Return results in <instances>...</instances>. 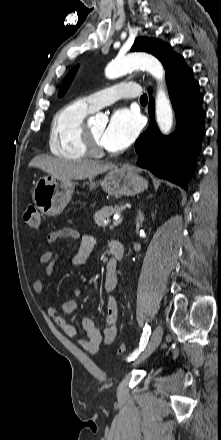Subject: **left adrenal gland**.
I'll list each match as a JSON object with an SVG mask.
<instances>
[{
	"label": "left adrenal gland",
	"mask_w": 221,
	"mask_h": 440,
	"mask_svg": "<svg viewBox=\"0 0 221 440\" xmlns=\"http://www.w3.org/2000/svg\"><path fill=\"white\" fill-rule=\"evenodd\" d=\"M143 221H144V216H143L141 210H139V211H138V217H137V223H138V224H142Z\"/></svg>",
	"instance_id": "1"
}]
</instances>
